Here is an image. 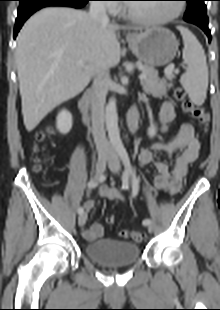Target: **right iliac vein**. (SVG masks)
<instances>
[{
  "instance_id": "right-iliac-vein-1",
  "label": "right iliac vein",
  "mask_w": 220,
  "mask_h": 310,
  "mask_svg": "<svg viewBox=\"0 0 220 310\" xmlns=\"http://www.w3.org/2000/svg\"><path fill=\"white\" fill-rule=\"evenodd\" d=\"M110 158L108 157H101L98 159L97 163H96V167H95V176H94V180H98L101 175L103 174L107 163H109ZM87 220V214L85 212H83L82 214L79 215L78 217V224L80 227H83L86 223Z\"/></svg>"
}]
</instances>
